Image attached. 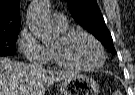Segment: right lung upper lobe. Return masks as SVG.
<instances>
[{
    "instance_id": "right-lung-upper-lobe-1",
    "label": "right lung upper lobe",
    "mask_w": 135,
    "mask_h": 95,
    "mask_svg": "<svg viewBox=\"0 0 135 95\" xmlns=\"http://www.w3.org/2000/svg\"><path fill=\"white\" fill-rule=\"evenodd\" d=\"M20 0H0V33L20 29Z\"/></svg>"
}]
</instances>
